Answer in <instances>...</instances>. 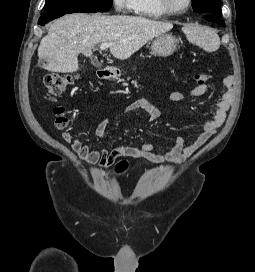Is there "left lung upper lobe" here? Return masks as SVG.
<instances>
[{"label":"left lung upper lobe","instance_id":"5c2ea615","mask_svg":"<svg viewBox=\"0 0 255 272\" xmlns=\"http://www.w3.org/2000/svg\"><path fill=\"white\" fill-rule=\"evenodd\" d=\"M221 0H192L193 10L198 13H212L221 16Z\"/></svg>","mask_w":255,"mask_h":272}]
</instances>
